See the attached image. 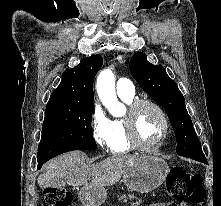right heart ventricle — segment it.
<instances>
[{"label": "right heart ventricle", "instance_id": "right-heart-ventricle-1", "mask_svg": "<svg viewBox=\"0 0 221 206\" xmlns=\"http://www.w3.org/2000/svg\"><path fill=\"white\" fill-rule=\"evenodd\" d=\"M120 99L130 105L134 100V96H121ZM109 149L113 154H123L133 150L129 142L125 127L124 118H116L109 121Z\"/></svg>", "mask_w": 221, "mask_h": 206}]
</instances>
